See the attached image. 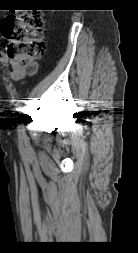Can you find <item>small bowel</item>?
I'll list each match as a JSON object with an SVG mask.
<instances>
[{
	"instance_id": "c3829d8e",
	"label": "small bowel",
	"mask_w": 138,
	"mask_h": 253,
	"mask_svg": "<svg viewBox=\"0 0 138 253\" xmlns=\"http://www.w3.org/2000/svg\"><path fill=\"white\" fill-rule=\"evenodd\" d=\"M0 62L5 66L11 67L10 79L13 81H22L25 77L24 69L18 64L17 61L10 58L8 54L0 50Z\"/></svg>"
}]
</instances>
